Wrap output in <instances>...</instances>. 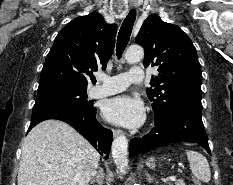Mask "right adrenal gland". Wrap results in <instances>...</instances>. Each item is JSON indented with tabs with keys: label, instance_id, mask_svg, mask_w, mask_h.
<instances>
[{
	"label": "right adrenal gland",
	"instance_id": "obj_1",
	"mask_svg": "<svg viewBox=\"0 0 233 185\" xmlns=\"http://www.w3.org/2000/svg\"><path fill=\"white\" fill-rule=\"evenodd\" d=\"M98 172H95L93 174V179L90 181V184H93L94 182H97L98 185H102L103 184V178H104V174H103V169L102 168H98Z\"/></svg>",
	"mask_w": 233,
	"mask_h": 185
}]
</instances>
